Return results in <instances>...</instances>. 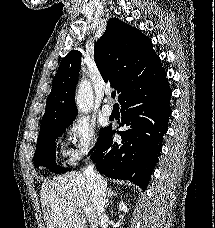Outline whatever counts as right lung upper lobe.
I'll return each instance as SVG.
<instances>
[{
	"label": "right lung upper lobe",
	"mask_w": 215,
	"mask_h": 228,
	"mask_svg": "<svg viewBox=\"0 0 215 228\" xmlns=\"http://www.w3.org/2000/svg\"><path fill=\"white\" fill-rule=\"evenodd\" d=\"M94 58L104 81L109 80L120 93L119 102L134 83L165 75L152 41L117 18L108 21L104 34L95 44ZM80 62L81 52L77 50H72L62 59L47 98L41 127L75 119L74 97Z\"/></svg>",
	"instance_id": "right-lung-upper-lobe-1"
}]
</instances>
